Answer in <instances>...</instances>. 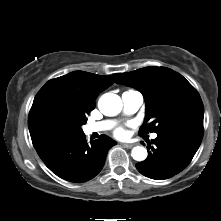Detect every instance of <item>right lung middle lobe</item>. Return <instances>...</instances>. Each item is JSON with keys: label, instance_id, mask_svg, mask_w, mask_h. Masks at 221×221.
<instances>
[{"label": "right lung middle lobe", "instance_id": "right-lung-middle-lobe-1", "mask_svg": "<svg viewBox=\"0 0 221 221\" xmlns=\"http://www.w3.org/2000/svg\"><path fill=\"white\" fill-rule=\"evenodd\" d=\"M86 116L78 111L59 104H49L34 117L32 126L36 137L43 139L83 133L81 126Z\"/></svg>", "mask_w": 221, "mask_h": 221}]
</instances>
